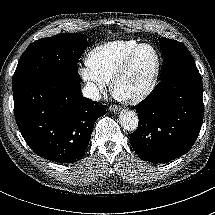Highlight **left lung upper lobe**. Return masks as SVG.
I'll list each match as a JSON object with an SVG mask.
<instances>
[{"mask_svg": "<svg viewBox=\"0 0 215 215\" xmlns=\"http://www.w3.org/2000/svg\"><path fill=\"white\" fill-rule=\"evenodd\" d=\"M159 42L164 57L161 80L182 69L196 66L190 51L182 43L164 37Z\"/></svg>", "mask_w": 215, "mask_h": 215, "instance_id": "obj_1", "label": "left lung upper lobe"}]
</instances>
